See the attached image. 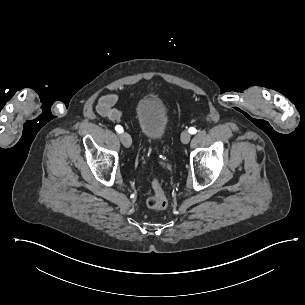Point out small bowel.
Returning <instances> with one entry per match:
<instances>
[{
    "mask_svg": "<svg viewBox=\"0 0 305 305\" xmlns=\"http://www.w3.org/2000/svg\"><path fill=\"white\" fill-rule=\"evenodd\" d=\"M117 101L118 94L116 93H107L101 96L96 104L97 113L113 121L119 120L122 117V112L114 108Z\"/></svg>",
    "mask_w": 305,
    "mask_h": 305,
    "instance_id": "1",
    "label": "small bowel"
}]
</instances>
